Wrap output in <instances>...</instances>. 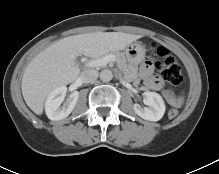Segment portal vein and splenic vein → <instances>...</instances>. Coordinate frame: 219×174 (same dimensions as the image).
<instances>
[{"mask_svg": "<svg viewBox=\"0 0 219 174\" xmlns=\"http://www.w3.org/2000/svg\"><path fill=\"white\" fill-rule=\"evenodd\" d=\"M115 57L113 55L105 56L101 59H96L88 62L86 64L87 67H102L107 65L110 61H113Z\"/></svg>", "mask_w": 219, "mask_h": 174, "instance_id": "18ae733b", "label": "portal vein and splenic vein"}]
</instances>
